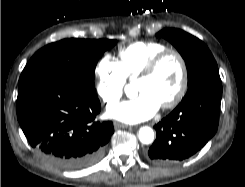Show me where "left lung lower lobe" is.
Here are the masks:
<instances>
[{
    "mask_svg": "<svg viewBox=\"0 0 245 187\" xmlns=\"http://www.w3.org/2000/svg\"><path fill=\"white\" fill-rule=\"evenodd\" d=\"M221 96V82L205 85L185 96L155 125L157 137L148 151V159L158 164H174L199 151L217 131Z\"/></svg>",
    "mask_w": 245,
    "mask_h": 187,
    "instance_id": "obj_1",
    "label": "left lung lower lobe"
}]
</instances>
